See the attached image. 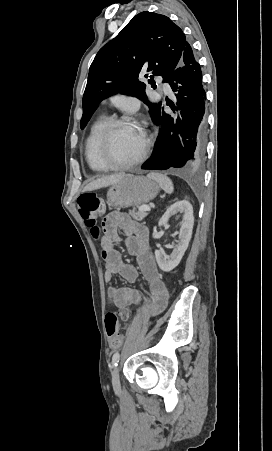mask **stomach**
I'll return each instance as SVG.
<instances>
[{
  "label": "stomach",
  "mask_w": 272,
  "mask_h": 451,
  "mask_svg": "<svg viewBox=\"0 0 272 451\" xmlns=\"http://www.w3.org/2000/svg\"><path fill=\"white\" fill-rule=\"evenodd\" d=\"M159 192L156 182L127 174L117 184H112L107 192V204L111 208H129V206H141L153 200Z\"/></svg>",
  "instance_id": "1"
}]
</instances>
